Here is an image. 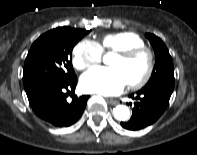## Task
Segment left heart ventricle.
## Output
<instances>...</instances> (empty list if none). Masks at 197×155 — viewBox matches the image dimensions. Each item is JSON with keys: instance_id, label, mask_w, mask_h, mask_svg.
<instances>
[{"instance_id": "obj_1", "label": "left heart ventricle", "mask_w": 197, "mask_h": 155, "mask_svg": "<svg viewBox=\"0 0 197 155\" xmlns=\"http://www.w3.org/2000/svg\"><path fill=\"white\" fill-rule=\"evenodd\" d=\"M109 65L117 68L126 82L130 83L139 80L144 75L147 68V58L145 55H138L125 59L115 54L111 57Z\"/></svg>"}]
</instances>
